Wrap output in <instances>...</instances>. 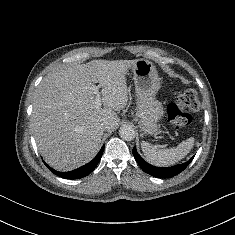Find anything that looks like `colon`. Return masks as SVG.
I'll return each mask as SVG.
<instances>
[{
	"mask_svg": "<svg viewBox=\"0 0 235 235\" xmlns=\"http://www.w3.org/2000/svg\"><path fill=\"white\" fill-rule=\"evenodd\" d=\"M199 101L193 89H186L167 107V117L173 127L180 129L192 121V112L198 110Z\"/></svg>",
	"mask_w": 235,
	"mask_h": 235,
	"instance_id": "obj_1",
	"label": "colon"
}]
</instances>
